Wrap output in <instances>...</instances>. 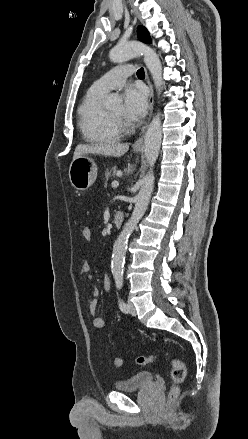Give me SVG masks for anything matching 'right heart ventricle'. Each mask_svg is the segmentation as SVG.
<instances>
[{
	"label": "right heart ventricle",
	"instance_id": "obj_1",
	"mask_svg": "<svg viewBox=\"0 0 248 439\" xmlns=\"http://www.w3.org/2000/svg\"><path fill=\"white\" fill-rule=\"evenodd\" d=\"M104 95L89 89L78 107L80 131L83 138L90 143H113L122 138V131L111 125L102 111L101 102Z\"/></svg>",
	"mask_w": 248,
	"mask_h": 439
}]
</instances>
